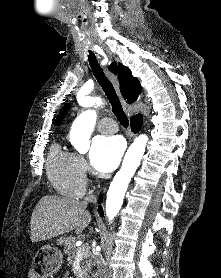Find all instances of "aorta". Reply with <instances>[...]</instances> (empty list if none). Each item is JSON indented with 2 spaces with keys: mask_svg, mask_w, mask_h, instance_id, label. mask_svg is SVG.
<instances>
[{
  "mask_svg": "<svg viewBox=\"0 0 221 278\" xmlns=\"http://www.w3.org/2000/svg\"><path fill=\"white\" fill-rule=\"evenodd\" d=\"M92 102L100 105L101 99L96 98ZM96 119L97 114L94 110H86L76 118L72 125L70 140L80 153H85L90 148V136L94 129ZM147 141L148 137L144 134L134 140L124 157L121 169L117 172L110 184L106 199V215L109 221L121 209L129 182L144 155Z\"/></svg>",
  "mask_w": 221,
  "mask_h": 278,
  "instance_id": "762f6f07",
  "label": "aorta"
}]
</instances>
